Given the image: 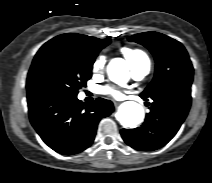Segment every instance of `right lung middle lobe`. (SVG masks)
<instances>
[{
  "label": "right lung middle lobe",
  "instance_id": "dd1d6c3e",
  "mask_svg": "<svg viewBox=\"0 0 212 183\" xmlns=\"http://www.w3.org/2000/svg\"><path fill=\"white\" fill-rule=\"evenodd\" d=\"M110 41L95 48L65 42H47L35 55L27 77V94L57 92L77 96L92 76V65L99 51Z\"/></svg>",
  "mask_w": 212,
  "mask_h": 183
}]
</instances>
